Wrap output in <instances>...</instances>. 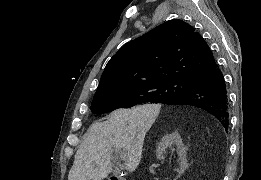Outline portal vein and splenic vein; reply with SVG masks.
Listing matches in <instances>:
<instances>
[{
	"label": "portal vein and splenic vein",
	"mask_w": 261,
	"mask_h": 180,
	"mask_svg": "<svg viewBox=\"0 0 261 180\" xmlns=\"http://www.w3.org/2000/svg\"><path fill=\"white\" fill-rule=\"evenodd\" d=\"M120 156H124V160H126V150H122Z\"/></svg>",
	"instance_id": "obj_1"
}]
</instances>
